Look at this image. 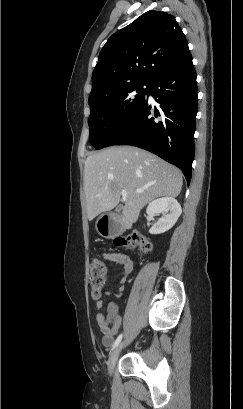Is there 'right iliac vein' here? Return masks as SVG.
<instances>
[{
  "label": "right iliac vein",
  "mask_w": 243,
  "mask_h": 409,
  "mask_svg": "<svg viewBox=\"0 0 243 409\" xmlns=\"http://www.w3.org/2000/svg\"><path fill=\"white\" fill-rule=\"evenodd\" d=\"M124 342H121L116 348L115 350L111 353L109 359H108V364H107V368H108V374H111L113 372L114 366L116 364V361L118 359V356L123 348Z\"/></svg>",
  "instance_id": "1"
}]
</instances>
